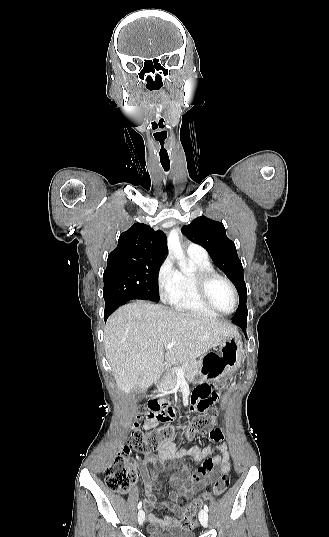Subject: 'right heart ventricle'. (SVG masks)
Here are the masks:
<instances>
[{
	"mask_svg": "<svg viewBox=\"0 0 329 537\" xmlns=\"http://www.w3.org/2000/svg\"><path fill=\"white\" fill-rule=\"evenodd\" d=\"M195 268L211 269L212 265L208 258L189 256ZM180 285L178 291L168 300L171 306L181 312L194 313L204 316H215L216 313L209 309L199 298L192 279V273L179 274Z\"/></svg>",
	"mask_w": 329,
	"mask_h": 537,
	"instance_id": "e07e8e85",
	"label": "right heart ventricle"
}]
</instances>
